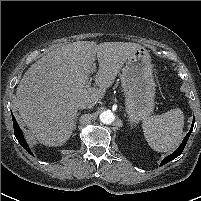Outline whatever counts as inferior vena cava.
Returning <instances> with one entry per match:
<instances>
[{
	"label": "inferior vena cava",
	"mask_w": 201,
	"mask_h": 201,
	"mask_svg": "<svg viewBox=\"0 0 201 201\" xmlns=\"http://www.w3.org/2000/svg\"><path fill=\"white\" fill-rule=\"evenodd\" d=\"M95 105V102L91 99H82L79 103H78V108L79 109H91L93 108Z\"/></svg>",
	"instance_id": "obj_1"
}]
</instances>
